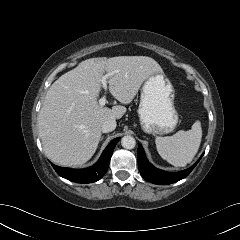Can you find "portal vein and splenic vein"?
Listing matches in <instances>:
<instances>
[{
  "label": "portal vein and splenic vein",
  "instance_id": "1",
  "mask_svg": "<svg viewBox=\"0 0 240 240\" xmlns=\"http://www.w3.org/2000/svg\"><path fill=\"white\" fill-rule=\"evenodd\" d=\"M108 76L109 75L103 76L102 81H101L102 84H103L104 89H107V79H108ZM98 103H99L100 106H104L106 104V97L105 96L101 97L99 99Z\"/></svg>",
  "mask_w": 240,
  "mask_h": 240
}]
</instances>
